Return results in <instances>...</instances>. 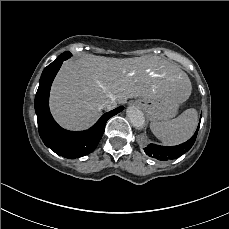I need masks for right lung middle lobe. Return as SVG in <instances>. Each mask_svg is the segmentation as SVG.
<instances>
[{
    "label": "right lung middle lobe",
    "instance_id": "1",
    "mask_svg": "<svg viewBox=\"0 0 229 229\" xmlns=\"http://www.w3.org/2000/svg\"><path fill=\"white\" fill-rule=\"evenodd\" d=\"M64 56H66L65 59H68L71 56V53L70 52H64L58 58H61V57H64Z\"/></svg>",
    "mask_w": 229,
    "mask_h": 229
}]
</instances>
